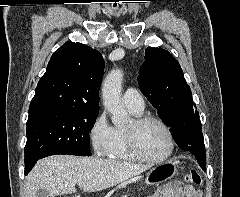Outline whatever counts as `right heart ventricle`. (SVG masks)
Segmentation results:
<instances>
[{
  "label": "right heart ventricle",
  "instance_id": "e07e8e85",
  "mask_svg": "<svg viewBox=\"0 0 240 197\" xmlns=\"http://www.w3.org/2000/svg\"><path fill=\"white\" fill-rule=\"evenodd\" d=\"M128 109L136 117L143 113V111H136L131 108ZM108 157L112 160L126 162H134L138 160L129 150L124 128L114 127V141Z\"/></svg>",
  "mask_w": 240,
  "mask_h": 197
}]
</instances>
